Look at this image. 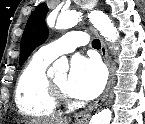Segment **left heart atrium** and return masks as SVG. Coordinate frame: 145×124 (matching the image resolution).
Returning <instances> with one entry per match:
<instances>
[{
  "label": "left heart atrium",
  "instance_id": "39dd6f15",
  "mask_svg": "<svg viewBox=\"0 0 145 124\" xmlns=\"http://www.w3.org/2000/svg\"><path fill=\"white\" fill-rule=\"evenodd\" d=\"M105 73L96 59L77 56L72 60L67 92L82 100L95 98L105 85Z\"/></svg>",
  "mask_w": 145,
  "mask_h": 124
}]
</instances>
